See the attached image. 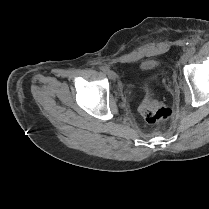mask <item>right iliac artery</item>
<instances>
[{
    "label": "right iliac artery",
    "instance_id": "right-iliac-artery-1",
    "mask_svg": "<svg viewBox=\"0 0 209 209\" xmlns=\"http://www.w3.org/2000/svg\"><path fill=\"white\" fill-rule=\"evenodd\" d=\"M100 69H101L103 72H106V71L108 70V68L105 67V66L100 67Z\"/></svg>",
    "mask_w": 209,
    "mask_h": 209
}]
</instances>
